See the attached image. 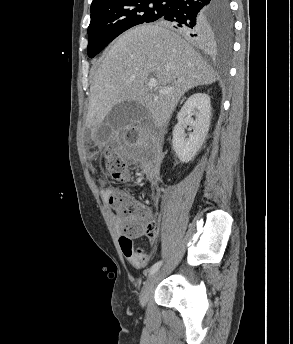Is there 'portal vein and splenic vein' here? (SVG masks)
Returning a JSON list of instances; mask_svg holds the SVG:
<instances>
[{"label":"portal vein and splenic vein","mask_w":293,"mask_h":344,"mask_svg":"<svg viewBox=\"0 0 293 344\" xmlns=\"http://www.w3.org/2000/svg\"><path fill=\"white\" fill-rule=\"evenodd\" d=\"M148 87L150 90H157V82L155 79H151L148 83ZM170 90L169 89H158L159 93L167 94Z\"/></svg>","instance_id":"portal-vein-and-splenic-vein-1"}]
</instances>
